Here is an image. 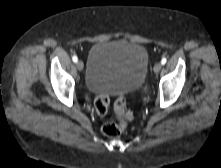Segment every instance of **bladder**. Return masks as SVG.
Wrapping results in <instances>:
<instances>
[{
	"label": "bladder",
	"instance_id": "1",
	"mask_svg": "<svg viewBox=\"0 0 221 168\" xmlns=\"http://www.w3.org/2000/svg\"><path fill=\"white\" fill-rule=\"evenodd\" d=\"M148 66V52L140 44L99 42L89 51L86 86L95 93L127 94L143 85Z\"/></svg>",
	"mask_w": 221,
	"mask_h": 168
}]
</instances>
